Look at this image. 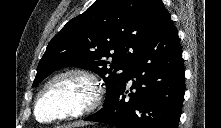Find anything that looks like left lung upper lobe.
<instances>
[{"instance_id":"obj_1","label":"left lung upper lobe","mask_w":221,"mask_h":128,"mask_svg":"<svg viewBox=\"0 0 221 128\" xmlns=\"http://www.w3.org/2000/svg\"><path fill=\"white\" fill-rule=\"evenodd\" d=\"M168 16L161 0H96L50 41L33 86L63 67L88 69L105 81V106L125 84L134 56Z\"/></svg>"}]
</instances>
